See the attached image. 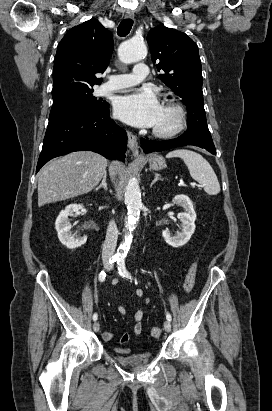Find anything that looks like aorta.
<instances>
[{
    "mask_svg": "<svg viewBox=\"0 0 272 411\" xmlns=\"http://www.w3.org/2000/svg\"><path fill=\"white\" fill-rule=\"evenodd\" d=\"M147 53L146 45L140 40H128L120 45L118 55L121 62L129 64L137 62L145 57ZM124 201L128 210V220L126 229L129 231L125 235L123 243L117 250L116 259L124 261L131 242V231L135 228L140 218V210L142 208L140 187L135 178H130L125 188Z\"/></svg>",
    "mask_w": 272,
    "mask_h": 411,
    "instance_id": "1",
    "label": "aorta"
}]
</instances>
